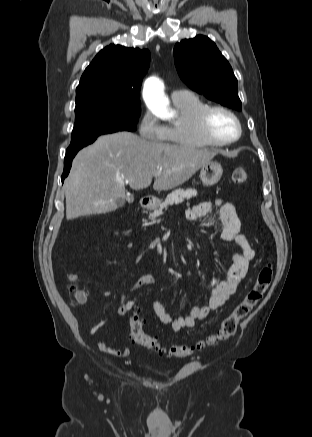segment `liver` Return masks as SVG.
Returning a JSON list of instances; mask_svg holds the SVG:
<instances>
[{
	"label": "liver",
	"mask_w": 312,
	"mask_h": 437,
	"mask_svg": "<svg viewBox=\"0 0 312 437\" xmlns=\"http://www.w3.org/2000/svg\"><path fill=\"white\" fill-rule=\"evenodd\" d=\"M217 151L151 142L130 132L103 135L78 152L64 182L66 217L104 214L125 199V184L170 190L189 180Z\"/></svg>",
	"instance_id": "1"
}]
</instances>
